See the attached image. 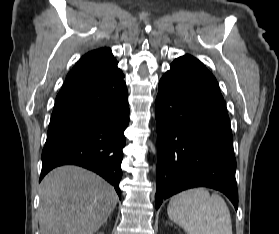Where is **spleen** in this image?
<instances>
[{
    "label": "spleen",
    "mask_w": 279,
    "mask_h": 234,
    "mask_svg": "<svg viewBox=\"0 0 279 234\" xmlns=\"http://www.w3.org/2000/svg\"><path fill=\"white\" fill-rule=\"evenodd\" d=\"M169 218L187 234H232V223L224 199L204 188L179 193L171 198Z\"/></svg>",
    "instance_id": "spleen-1"
}]
</instances>
